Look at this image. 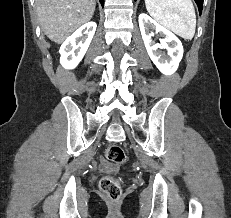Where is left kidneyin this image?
<instances>
[{"label":"left kidney","instance_id":"1","mask_svg":"<svg viewBox=\"0 0 231 218\" xmlns=\"http://www.w3.org/2000/svg\"><path fill=\"white\" fill-rule=\"evenodd\" d=\"M139 27L147 50V53L156 67L165 75L173 74L183 57V46L178 37L171 31L157 23L149 15L141 13L139 15ZM150 28H154L156 33H160L165 38L161 43H155L150 33ZM167 50V56L160 51Z\"/></svg>","mask_w":231,"mask_h":218}]
</instances>
